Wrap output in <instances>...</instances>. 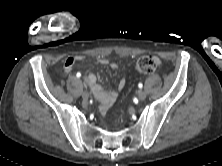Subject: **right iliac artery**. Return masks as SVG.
Here are the masks:
<instances>
[{
	"label": "right iliac artery",
	"instance_id": "82829eb1",
	"mask_svg": "<svg viewBox=\"0 0 222 166\" xmlns=\"http://www.w3.org/2000/svg\"><path fill=\"white\" fill-rule=\"evenodd\" d=\"M76 76L79 78V77L81 76V74H80V73H77Z\"/></svg>",
	"mask_w": 222,
	"mask_h": 166
}]
</instances>
